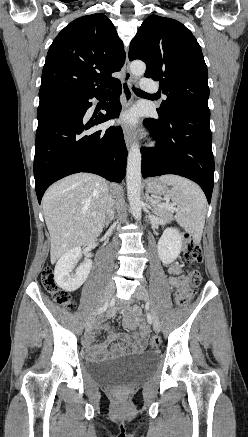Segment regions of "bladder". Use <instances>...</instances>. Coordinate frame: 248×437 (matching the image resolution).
Wrapping results in <instances>:
<instances>
[{
  "instance_id": "1",
  "label": "bladder",
  "mask_w": 248,
  "mask_h": 437,
  "mask_svg": "<svg viewBox=\"0 0 248 437\" xmlns=\"http://www.w3.org/2000/svg\"><path fill=\"white\" fill-rule=\"evenodd\" d=\"M158 355L153 352L130 353L91 362L88 374L106 384H124L138 380L155 366Z\"/></svg>"
}]
</instances>
